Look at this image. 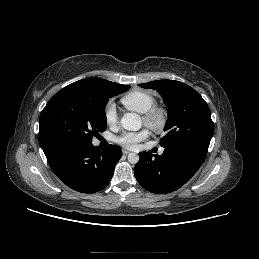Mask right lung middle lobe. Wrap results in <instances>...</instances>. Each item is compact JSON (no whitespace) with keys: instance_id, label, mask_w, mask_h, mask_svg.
I'll return each mask as SVG.
<instances>
[{"instance_id":"right-lung-middle-lobe-1","label":"right lung middle lobe","mask_w":259,"mask_h":259,"mask_svg":"<svg viewBox=\"0 0 259 259\" xmlns=\"http://www.w3.org/2000/svg\"><path fill=\"white\" fill-rule=\"evenodd\" d=\"M129 88L113 82L97 90L61 89L40 115L38 138L42 149L60 141L92 142L93 136L106 130L109 98Z\"/></svg>"}]
</instances>
